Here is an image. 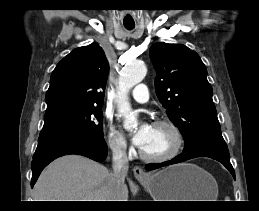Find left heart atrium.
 <instances>
[{
	"instance_id": "39dd6f15",
	"label": "left heart atrium",
	"mask_w": 259,
	"mask_h": 211,
	"mask_svg": "<svg viewBox=\"0 0 259 211\" xmlns=\"http://www.w3.org/2000/svg\"><path fill=\"white\" fill-rule=\"evenodd\" d=\"M150 130H151L150 124L142 123L132 136L133 143L136 146L141 148L145 144L146 140L148 139Z\"/></svg>"
}]
</instances>
